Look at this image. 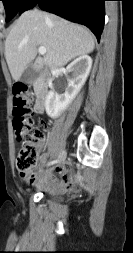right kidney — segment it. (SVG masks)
<instances>
[{"label":"right kidney","instance_id":"right-kidney-1","mask_svg":"<svg viewBox=\"0 0 133 253\" xmlns=\"http://www.w3.org/2000/svg\"><path fill=\"white\" fill-rule=\"evenodd\" d=\"M92 67V59L88 55H82L72 61L66 68L67 88L62 95L53 91L48 92L45 101V109L51 118L58 117L76 97L84 85Z\"/></svg>","mask_w":133,"mask_h":253}]
</instances>
